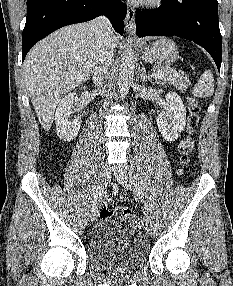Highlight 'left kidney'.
I'll list each match as a JSON object with an SVG mask.
<instances>
[{"label": "left kidney", "mask_w": 233, "mask_h": 286, "mask_svg": "<svg viewBox=\"0 0 233 286\" xmlns=\"http://www.w3.org/2000/svg\"><path fill=\"white\" fill-rule=\"evenodd\" d=\"M165 111L156 119L159 132L167 141H175L186 125V109L177 93L166 95Z\"/></svg>", "instance_id": "1"}]
</instances>
